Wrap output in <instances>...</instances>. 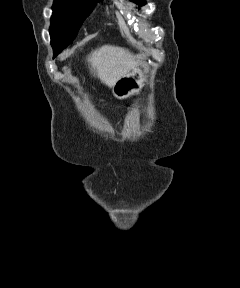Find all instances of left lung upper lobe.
I'll use <instances>...</instances> for the list:
<instances>
[{"label": "left lung upper lobe", "instance_id": "5c2ea615", "mask_svg": "<svg viewBox=\"0 0 240 288\" xmlns=\"http://www.w3.org/2000/svg\"><path fill=\"white\" fill-rule=\"evenodd\" d=\"M133 2L137 3L138 5L142 6L145 4L143 0H132Z\"/></svg>", "mask_w": 240, "mask_h": 288}]
</instances>
